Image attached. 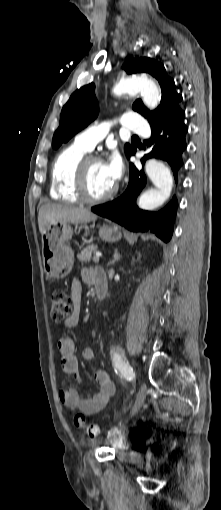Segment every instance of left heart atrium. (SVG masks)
I'll list each match as a JSON object with an SVG mask.
<instances>
[{
  "label": "left heart atrium",
  "instance_id": "1",
  "mask_svg": "<svg viewBox=\"0 0 221 510\" xmlns=\"http://www.w3.org/2000/svg\"><path fill=\"white\" fill-rule=\"evenodd\" d=\"M106 171L115 184L119 181L122 175V160L117 152H113L109 159L104 162Z\"/></svg>",
  "mask_w": 221,
  "mask_h": 510
}]
</instances>
